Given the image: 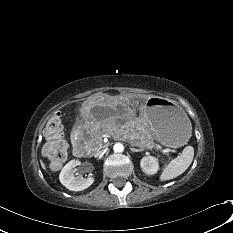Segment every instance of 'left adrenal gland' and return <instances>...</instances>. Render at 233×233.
<instances>
[{"label":"left adrenal gland","instance_id":"obj_1","mask_svg":"<svg viewBox=\"0 0 233 233\" xmlns=\"http://www.w3.org/2000/svg\"><path fill=\"white\" fill-rule=\"evenodd\" d=\"M130 150L133 152H141V151H144V148L140 147L139 149H136V148L130 147Z\"/></svg>","mask_w":233,"mask_h":233}]
</instances>
